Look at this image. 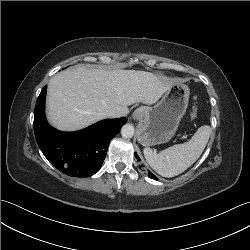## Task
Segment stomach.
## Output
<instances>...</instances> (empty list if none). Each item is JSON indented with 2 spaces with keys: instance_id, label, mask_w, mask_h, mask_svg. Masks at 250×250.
I'll use <instances>...</instances> for the list:
<instances>
[{
  "instance_id": "stomach-1",
  "label": "stomach",
  "mask_w": 250,
  "mask_h": 250,
  "mask_svg": "<svg viewBox=\"0 0 250 250\" xmlns=\"http://www.w3.org/2000/svg\"><path fill=\"white\" fill-rule=\"evenodd\" d=\"M189 94L187 85L176 83L153 107L138 108L136 111L140 119L138 142L145 146H152L170 141L186 112Z\"/></svg>"
}]
</instances>
